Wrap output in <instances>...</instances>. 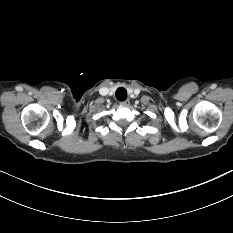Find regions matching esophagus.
Returning a JSON list of instances; mask_svg holds the SVG:
<instances>
[{"mask_svg": "<svg viewBox=\"0 0 233 233\" xmlns=\"http://www.w3.org/2000/svg\"><path fill=\"white\" fill-rule=\"evenodd\" d=\"M120 104L123 105V106H129L130 105V101L127 99L125 101H122Z\"/></svg>", "mask_w": 233, "mask_h": 233, "instance_id": "1", "label": "esophagus"}]
</instances>
